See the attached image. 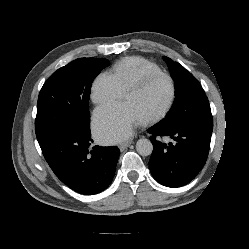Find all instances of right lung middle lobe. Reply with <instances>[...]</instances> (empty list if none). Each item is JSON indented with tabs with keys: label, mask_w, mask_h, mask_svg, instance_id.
I'll return each mask as SVG.
<instances>
[{
	"label": "right lung middle lobe",
	"mask_w": 249,
	"mask_h": 249,
	"mask_svg": "<svg viewBox=\"0 0 249 249\" xmlns=\"http://www.w3.org/2000/svg\"><path fill=\"white\" fill-rule=\"evenodd\" d=\"M108 63L106 59L79 58L51 75L44 83L37 103L35 131L38 142L55 133L90 129V88Z\"/></svg>",
	"instance_id": "obj_1"
}]
</instances>
